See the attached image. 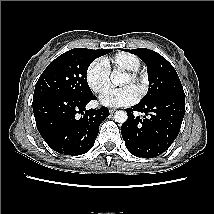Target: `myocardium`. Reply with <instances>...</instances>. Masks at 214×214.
Returning <instances> with one entry per match:
<instances>
[{
  "label": "myocardium",
  "mask_w": 214,
  "mask_h": 214,
  "mask_svg": "<svg viewBox=\"0 0 214 214\" xmlns=\"http://www.w3.org/2000/svg\"><path fill=\"white\" fill-rule=\"evenodd\" d=\"M126 75L129 77L131 83L139 88L142 87L144 77L143 75L138 71H126Z\"/></svg>",
  "instance_id": "f54148a6"
}]
</instances>
